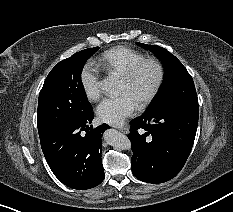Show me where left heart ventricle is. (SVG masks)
Listing matches in <instances>:
<instances>
[{
  "label": "left heart ventricle",
  "mask_w": 233,
  "mask_h": 212,
  "mask_svg": "<svg viewBox=\"0 0 233 212\" xmlns=\"http://www.w3.org/2000/svg\"><path fill=\"white\" fill-rule=\"evenodd\" d=\"M157 71L153 64H146L137 74L136 78L131 83H126L121 79L119 93H126L139 104L146 95L150 92L155 79Z\"/></svg>",
  "instance_id": "left-heart-ventricle-1"
}]
</instances>
